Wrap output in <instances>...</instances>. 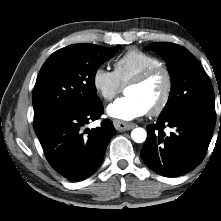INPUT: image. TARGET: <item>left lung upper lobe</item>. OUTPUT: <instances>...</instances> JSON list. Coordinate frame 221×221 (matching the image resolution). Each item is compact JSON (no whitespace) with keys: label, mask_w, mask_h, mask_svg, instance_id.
Masks as SVG:
<instances>
[{"label":"left lung upper lobe","mask_w":221,"mask_h":221,"mask_svg":"<svg viewBox=\"0 0 221 221\" xmlns=\"http://www.w3.org/2000/svg\"><path fill=\"white\" fill-rule=\"evenodd\" d=\"M146 49L163 56L171 76L169 100L159 117L194 112L215 121L213 87L200 62L187 49L174 43L156 42Z\"/></svg>","instance_id":"5c2ea615"}]
</instances>
